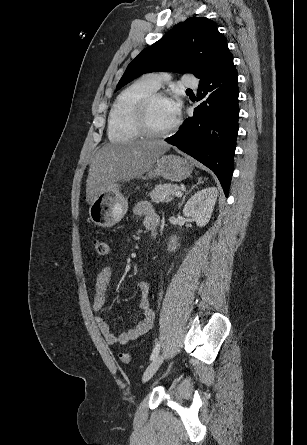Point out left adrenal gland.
Returning a JSON list of instances; mask_svg holds the SVG:
<instances>
[{"label": "left adrenal gland", "instance_id": "a2214340", "mask_svg": "<svg viewBox=\"0 0 307 445\" xmlns=\"http://www.w3.org/2000/svg\"><path fill=\"white\" fill-rule=\"evenodd\" d=\"M201 182H202V178H199L198 182H196V184H193V186H191V188H190V190H188V192H185L184 196H182V200H181V202L179 204V208H180V206H182V204H183V202L185 200L186 194H189V192H191L192 188H194V186H197V184H201Z\"/></svg>", "mask_w": 307, "mask_h": 445}]
</instances>
